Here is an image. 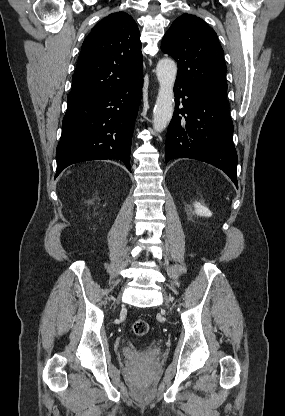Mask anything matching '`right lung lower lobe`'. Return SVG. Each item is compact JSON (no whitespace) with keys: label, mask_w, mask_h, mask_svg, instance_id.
<instances>
[{"label":"right lung lower lobe","mask_w":285,"mask_h":416,"mask_svg":"<svg viewBox=\"0 0 285 416\" xmlns=\"http://www.w3.org/2000/svg\"><path fill=\"white\" fill-rule=\"evenodd\" d=\"M143 76L96 100L68 107L56 150L55 178L67 166L89 160L117 159L130 168L134 123Z\"/></svg>","instance_id":"98d812e1"}]
</instances>
